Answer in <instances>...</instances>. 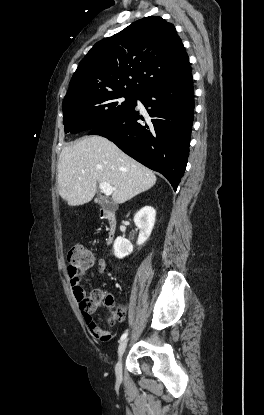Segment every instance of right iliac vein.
Returning a JSON list of instances; mask_svg holds the SVG:
<instances>
[{
    "label": "right iliac vein",
    "mask_w": 264,
    "mask_h": 415,
    "mask_svg": "<svg viewBox=\"0 0 264 415\" xmlns=\"http://www.w3.org/2000/svg\"><path fill=\"white\" fill-rule=\"evenodd\" d=\"M127 343H128V340L124 339L123 341L120 342V345L118 347V357H117V361L115 364V372L118 378H121L122 376V356L127 347Z\"/></svg>",
    "instance_id": "right-iliac-vein-1"
}]
</instances>
